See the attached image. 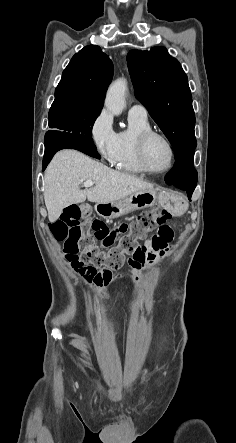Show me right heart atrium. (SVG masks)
Here are the masks:
<instances>
[{"label": "right heart atrium", "mask_w": 236, "mask_h": 443, "mask_svg": "<svg viewBox=\"0 0 236 443\" xmlns=\"http://www.w3.org/2000/svg\"><path fill=\"white\" fill-rule=\"evenodd\" d=\"M89 139L97 153L109 163H113L117 155V133L113 128L109 112L102 109L89 126Z\"/></svg>", "instance_id": "1"}]
</instances>
